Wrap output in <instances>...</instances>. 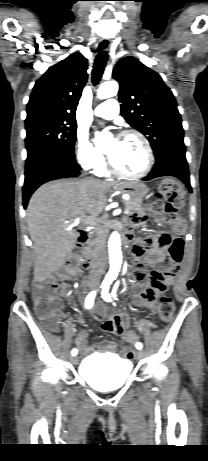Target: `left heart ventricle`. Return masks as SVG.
I'll list each match as a JSON object with an SVG mask.
<instances>
[{
	"label": "left heart ventricle",
	"mask_w": 208,
	"mask_h": 461,
	"mask_svg": "<svg viewBox=\"0 0 208 461\" xmlns=\"http://www.w3.org/2000/svg\"><path fill=\"white\" fill-rule=\"evenodd\" d=\"M105 152L113 164L122 172L137 174L147 162V155L142 142L134 136L113 138L108 141Z\"/></svg>",
	"instance_id": "b2bd125f"
}]
</instances>
